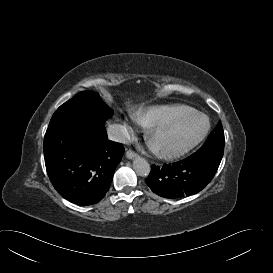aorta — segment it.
I'll use <instances>...</instances> for the list:
<instances>
[{
  "label": "aorta",
  "instance_id": "1",
  "mask_svg": "<svg viewBox=\"0 0 273 273\" xmlns=\"http://www.w3.org/2000/svg\"><path fill=\"white\" fill-rule=\"evenodd\" d=\"M133 169L139 176H148L150 173L149 163L142 157L137 156L133 161Z\"/></svg>",
  "mask_w": 273,
  "mask_h": 273
}]
</instances>
